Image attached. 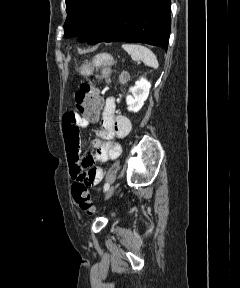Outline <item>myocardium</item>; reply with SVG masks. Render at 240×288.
<instances>
[{
	"instance_id": "obj_1",
	"label": "myocardium",
	"mask_w": 240,
	"mask_h": 288,
	"mask_svg": "<svg viewBox=\"0 0 240 288\" xmlns=\"http://www.w3.org/2000/svg\"><path fill=\"white\" fill-rule=\"evenodd\" d=\"M85 26V22L84 21H80L78 24H77V27L78 28H83Z\"/></svg>"
}]
</instances>
